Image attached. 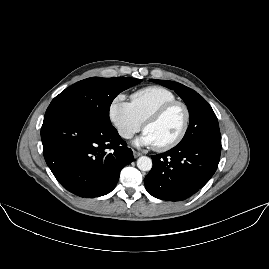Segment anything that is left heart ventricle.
Instances as JSON below:
<instances>
[{
  "label": "left heart ventricle",
  "mask_w": 269,
  "mask_h": 269,
  "mask_svg": "<svg viewBox=\"0 0 269 269\" xmlns=\"http://www.w3.org/2000/svg\"><path fill=\"white\" fill-rule=\"evenodd\" d=\"M184 124V112L180 107H174L162 116L146 125L147 133L154 146H163L175 139Z\"/></svg>",
  "instance_id": "obj_1"
}]
</instances>
